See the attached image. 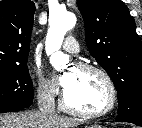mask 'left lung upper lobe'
Returning a JSON list of instances; mask_svg holds the SVG:
<instances>
[{"label":"left lung upper lobe","instance_id":"obj_1","mask_svg":"<svg viewBox=\"0 0 142 128\" xmlns=\"http://www.w3.org/2000/svg\"><path fill=\"white\" fill-rule=\"evenodd\" d=\"M90 54L117 90V119H142V44L121 0H77Z\"/></svg>","mask_w":142,"mask_h":128}]
</instances>
